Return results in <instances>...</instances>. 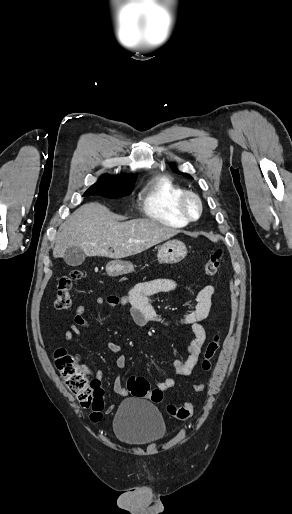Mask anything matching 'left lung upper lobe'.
Segmentation results:
<instances>
[{
	"mask_svg": "<svg viewBox=\"0 0 292 514\" xmlns=\"http://www.w3.org/2000/svg\"><path fill=\"white\" fill-rule=\"evenodd\" d=\"M171 168L173 169V171H175L178 174H182L183 176H186L188 178H192L190 175H188L186 173H181L180 171H178L173 165H171Z\"/></svg>",
	"mask_w": 292,
	"mask_h": 514,
	"instance_id": "5c2ea615",
	"label": "left lung upper lobe"
}]
</instances>
